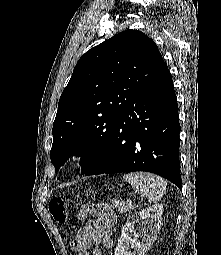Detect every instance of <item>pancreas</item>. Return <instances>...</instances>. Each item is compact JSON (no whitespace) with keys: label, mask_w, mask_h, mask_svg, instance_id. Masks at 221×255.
Instances as JSON below:
<instances>
[{"label":"pancreas","mask_w":221,"mask_h":255,"mask_svg":"<svg viewBox=\"0 0 221 255\" xmlns=\"http://www.w3.org/2000/svg\"><path fill=\"white\" fill-rule=\"evenodd\" d=\"M111 205L115 207L120 213H126L135 208L134 204L128 202H120L118 200H112Z\"/></svg>","instance_id":"1"}]
</instances>
